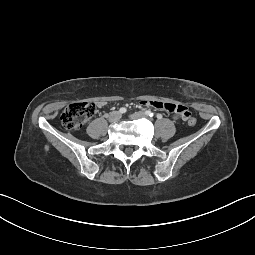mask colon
Listing matches in <instances>:
<instances>
[{"mask_svg":"<svg viewBox=\"0 0 255 255\" xmlns=\"http://www.w3.org/2000/svg\"><path fill=\"white\" fill-rule=\"evenodd\" d=\"M96 112V106L90 102H75L68 105L62 115V124L72 130H76L82 127V125L89 120ZM189 125L193 126L196 124V118L190 116L189 119L184 120Z\"/></svg>","mask_w":255,"mask_h":255,"instance_id":"colon-1","label":"colon"}]
</instances>
